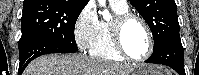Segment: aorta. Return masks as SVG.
<instances>
[{"mask_svg": "<svg viewBox=\"0 0 199 75\" xmlns=\"http://www.w3.org/2000/svg\"><path fill=\"white\" fill-rule=\"evenodd\" d=\"M99 4L103 7H105L106 5V1L105 0H99ZM102 15H103V18L106 19V20H110L112 17H111V14L109 13V11L107 9H105L103 12H102Z\"/></svg>", "mask_w": 199, "mask_h": 75, "instance_id": "obj_1", "label": "aorta"}]
</instances>
